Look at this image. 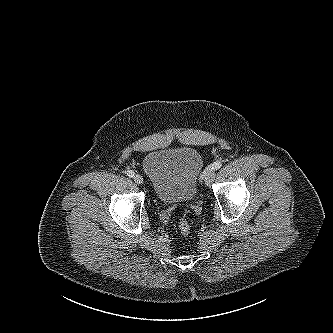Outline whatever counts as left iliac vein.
I'll use <instances>...</instances> for the list:
<instances>
[{
  "label": "left iliac vein",
  "mask_w": 333,
  "mask_h": 333,
  "mask_svg": "<svg viewBox=\"0 0 333 333\" xmlns=\"http://www.w3.org/2000/svg\"><path fill=\"white\" fill-rule=\"evenodd\" d=\"M215 178V171L210 169L205 175V183L207 186H210L211 183L214 181Z\"/></svg>",
  "instance_id": "1"
}]
</instances>
